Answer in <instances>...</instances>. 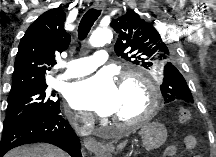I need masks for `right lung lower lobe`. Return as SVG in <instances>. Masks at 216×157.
<instances>
[{"instance_id":"right-lung-lower-lobe-1","label":"right lung lower lobe","mask_w":216,"mask_h":157,"mask_svg":"<svg viewBox=\"0 0 216 157\" xmlns=\"http://www.w3.org/2000/svg\"><path fill=\"white\" fill-rule=\"evenodd\" d=\"M46 142L58 146L71 157H82L78 137L70 124L60 115H37L3 128L0 137V157L20 145Z\"/></svg>"}]
</instances>
